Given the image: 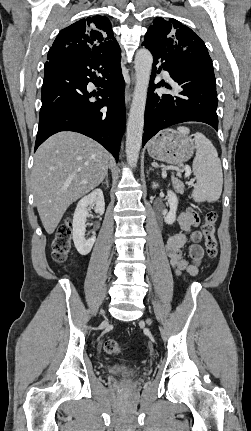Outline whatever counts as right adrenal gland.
Here are the masks:
<instances>
[{"mask_svg": "<svg viewBox=\"0 0 251 431\" xmlns=\"http://www.w3.org/2000/svg\"><path fill=\"white\" fill-rule=\"evenodd\" d=\"M105 184L109 188V176L108 174L105 176V181L102 182V185Z\"/></svg>", "mask_w": 251, "mask_h": 431, "instance_id": "1", "label": "right adrenal gland"}]
</instances>
